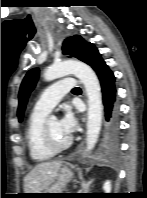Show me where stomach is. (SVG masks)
<instances>
[{
  "instance_id": "1",
  "label": "stomach",
  "mask_w": 147,
  "mask_h": 198,
  "mask_svg": "<svg viewBox=\"0 0 147 198\" xmlns=\"http://www.w3.org/2000/svg\"><path fill=\"white\" fill-rule=\"evenodd\" d=\"M72 178V170L68 166H64L58 173L56 181L51 186L40 192L41 194L34 197L48 198L54 196L55 193H62V190L65 188L67 183L71 181Z\"/></svg>"
}]
</instances>
